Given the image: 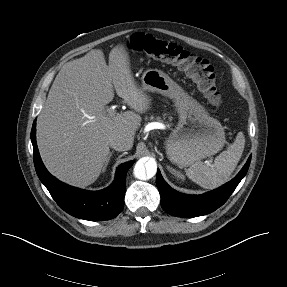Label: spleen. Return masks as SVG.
<instances>
[{
  "label": "spleen",
  "instance_id": "obj_1",
  "mask_svg": "<svg viewBox=\"0 0 287 287\" xmlns=\"http://www.w3.org/2000/svg\"><path fill=\"white\" fill-rule=\"evenodd\" d=\"M245 136L238 132L234 143L220 153L212 164L198 161L187 169L186 175L205 189L217 188L229 180L244 150Z\"/></svg>",
  "mask_w": 287,
  "mask_h": 287
}]
</instances>
